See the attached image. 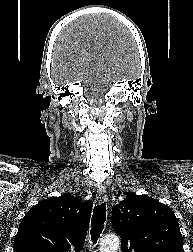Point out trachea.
I'll use <instances>...</instances> for the list:
<instances>
[{
	"instance_id": "1",
	"label": "trachea",
	"mask_w": 193,
	"mask_h": 252,
	"mask_svg": "<svg viewBox=\"0 0 193 252\" xmlns=\"http://www.w3.org/2000/svg\"><path fill=\"white\" fill-rule=\"evenodd\" d=\"M106 220V203H102L94 207L93 215L91 219V240L93 244H96L100 237L104 222Z\"/></svg>"
}]
</instances>
